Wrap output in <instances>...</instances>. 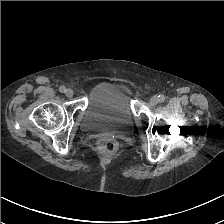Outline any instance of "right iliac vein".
<instances>
[{"label":"right iliac vein","instance_id":"obj_1","mask_svg":"<svg viewBox=\"0 0 224 224\" xmlns=\"http://www.w3.org/2000/svg\"><path fill=\"white\" fill-rule=\"evenodd\" d=\"M65 94L67 97L71 98L73 96L74 92L72 89H67Z\"/></svg>","mask_w":224,"mask_h":224}]
</instances>
